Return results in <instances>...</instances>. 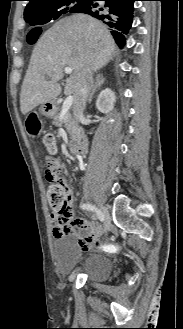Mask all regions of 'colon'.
I'll use <instances>...</instances> for the list:
<instances>
[{
	"mask_svg": "<svg viewBox=\"0 0 183 329\" xmlns=\"http://www.w3.org/2000/svg\"><path fill=\"white\" fill-rule=\"evenodd\" d=\"M40 32H47V25H30V31H26L22 43L27 49H38L40 43ZM43 143L50 153L55 151V137L47 134ZM46 177L50 182L48 190L49 204L52 214L64 220L70 211L71 194L68 186L63 182L62 170L54 169L50 164L46 169Z\"/></svg>",
	"mask_w": 183,
	"mask_h": 329,
	"instance_id": "colon-1",
	"label": "colon"
}]
</instances>
